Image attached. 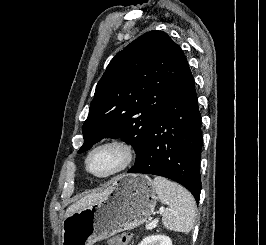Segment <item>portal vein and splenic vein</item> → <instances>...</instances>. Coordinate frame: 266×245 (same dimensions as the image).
Returning a JSON list of instances; mask_svg holds the SVG:
<instances>
[{
	"instance_id": "18ae733b",
	"label": "portal vein and splenic vein",
	"mask_w": 266,
	"mask_h": 245,
	"mask_svg": "<svg viewBox=\"0 0 266 245\" xmlns=\"http://www.w3.org/2000/svg\"><path fill=\"white\" fill-rule=\"evenodd\" d=\"M164 211H165L164 207H161L159 211L160 215H162ZM157 223H158L157 219L156 221H152V223H149V225H146V229H149V231H151V229H155V227H157Z\"/></svg>"
}]
</instances>
